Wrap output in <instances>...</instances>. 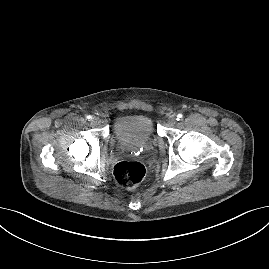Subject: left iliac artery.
Masks as SVG:
<instances>
[{"mask_svg":"<svg viewBox=\"0 0 269 269\" xmlns=\"http://www.w3.org/2000/svg\"><path fill=\"white\" fill-rule=\"evenodd\" d=\"M183 118V115L182 114H178L177 115V120H181Z\"/></svg>","mask_w":269,"mask_h":269,"instance_id":"1","label":"left iliac artery"}]
</instances>
